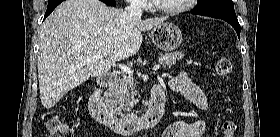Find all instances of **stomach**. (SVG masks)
<instances>
[{
	"mask_svg": "<svg viewBox=\"0 0 280 137\" xmlns=\"http://www.w3.org/2000/svg\"><path fill=\"white\" fill-rule=\"evenodd\" d=\"M150 37L158 49L166 52L176 50L183 41L181 30L173 23H161L152 28Z\"/></svg>",
	"mask_w": 280,
	"mask_h": 137,
	"instance_id": "0dacf381",
	"label": "stomach"
}]
</instances>
